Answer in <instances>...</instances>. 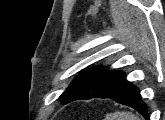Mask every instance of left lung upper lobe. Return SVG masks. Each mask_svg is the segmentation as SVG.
Masks as SVG:
<instances>
[{
	"mask_svg": "<svg viewBox=\"0 0 165 120\" xmlns=\"http://www.w3.org/2000/svg\"><path fill=\"white\" fill-rule=\"evenodd\" d=\"M125 75L121 71L109 72L93 68L82 72L60 96L63 104L79 100L106 98L124 82Z\"/></svg>",
	"mask_w": 165,
	"mask_h": 120,
	"instance_id": "obj_1",
	"label": "left lung upper lobe"
}]
</instances>
